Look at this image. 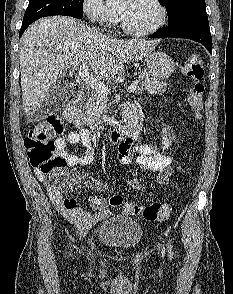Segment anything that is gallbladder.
<instances>
[{
    "instance_id": "bac80fb5",
    "label": "gallbladder",
    "mask_w": 233,
    "mask_h": 294,
    "mask_svg": "<svg viewBox=\"0 0 233 294\" xmlns=\"http://www.w3.org/2000/svg\"><path fill=\"white\" fill-rule=\"evenodd\" d=\"M71 89L63 81H59L50 87L48 96L42 102V111L49 114L57 110L70 97Z\"/></svg>"
}]
</instances>
